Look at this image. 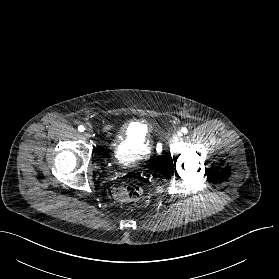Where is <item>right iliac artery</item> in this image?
Instances as JSON below:
<instances>
[{"label":"right iliac artery","mask_w":279,"mask_h":279,"mask_svg":"<svg viewBox=\"0 0 279 279\" xmlns=\"http://www.w3.org/2000/svg\"><path fill=\"white\" fill-rule=\"evenodd\" d=\"M78 130H79L80 132H83V131L85 130V127H84L83 125H80V126L78 127Z\"/></svg>","instance_id":"obj_1"}]
</instances>
